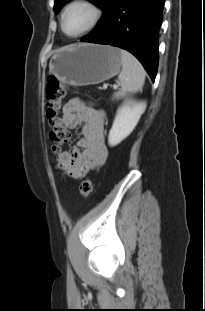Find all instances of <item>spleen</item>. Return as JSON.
<instances>
[{
    "label": "spleen",
    "instance_id": "spleen-1",
    "mask_svg": "<svg viewBox=\"0 0 205 311\" xmlns=\"http://www.w3.org/2000/svg\"><path fill=\"white\" fill-rule=\"evenodd\" d=\"M122 71L118 76L121 86L114 97L120 98L129 92L141 91L145 81V70L136 57L126 50H121Z\"/></svg>",
    "mask_w": 205,
    "mask_h": 311
}]
</instances>
